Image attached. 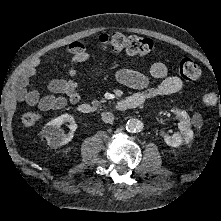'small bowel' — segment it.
Wrapping results in <instances>:
<instances>
[{
    "instance_id": "1",
    "label": "small bowel",
    "mask_w": 221,
    "mask_h": 221,
    "mask_svg": "<svg viewBox=\"0 0 221 221\" xmlns=\"http://www.w3.org/2000/svg\"><path fill=\"white\" fill-rule=\"evenodd\" d=\"M66 52L71 55L68 78L52 79L48 82V89L53 94L42 96L37 90L27 89L29 80L35 75L41 63L39 58L33 59L22 69L17 78L18 94L22 100L31 106H37L42 111L62 109L66 106L67 100L71 104L79 102L76 66L80 62L88 60L90 54L80 42L70 43L66 47ZM149 74L152 78L161 80L158 86L147 89L149 78L133 69H121L117 72L116 77L127 87L142 90L135 94L144 97L145 101L174 94L183 87V82L179 77L168 76L167 68L161 62L153 63L149 67Z\"/></svg>"
}]
</instances>
